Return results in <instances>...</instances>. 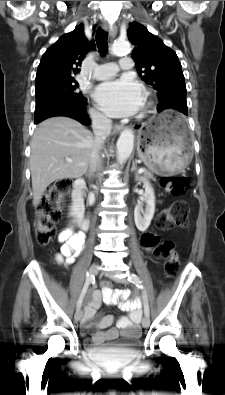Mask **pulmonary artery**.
Instances as JSON below:
<instances>
[{
    "instance_id": "pulmonary-artery-1",
    "label": "pulmonary artery",
    "mask_w": 225,
    "mask_h": 395,
    "mask_svg": "<svg viewBox=\"0 0 225 395\" xmlns=\"http://www.w3.org/2000/svg\"><path fill=\"white\" fill-rule=\"evenodd\" d=\"M132 67L133 60L130 57H123L120 59L119 64L109 62L97 66L94 71V78L97 80H104L115 75L120 69L128 70Z\"/></svg>"
}]
</instances>
